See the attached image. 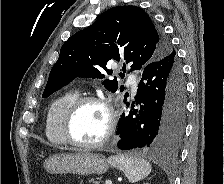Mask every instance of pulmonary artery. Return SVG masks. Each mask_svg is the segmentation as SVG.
<instances>
[{
  "mask_svg": "<svg viewBox=\"0 0 224 184\" xmlns=\"http://www.w3.org/2000/svg\"><path fill=\"white\" fill-rule=\"evenodd\" d=\"M128 84L130 85L132 91L135 93L137 91V87H138V84L136 81H134L133 78H129L128 80Z\"/></svg>",
  "mask_w": 224,
  "mask_h": 184,
  "instance_id": "e3ab8cb5",
  "label": "pulmonary artery"
}]
</instances>
